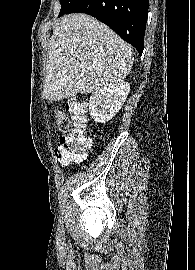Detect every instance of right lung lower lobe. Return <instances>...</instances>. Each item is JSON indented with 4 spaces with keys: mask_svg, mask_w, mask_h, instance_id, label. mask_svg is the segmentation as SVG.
<instances>
[{
    "mask_svg": "<svg viewBox=\"0 0 195 270\" xmlns=\"http://www.w3.org/2000/svg\"><path fill=\"white\" fill-rule=\"evenodd\" d=\"M149 0H76L66 14L86 13L108 25L141 55Z\"/></svg>",
    "mask_w": 195,
    "mask_h": 270,
    "instance_id": "1",
    "label": "right lung lower lobe"
}]
</instances>
